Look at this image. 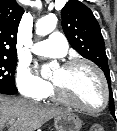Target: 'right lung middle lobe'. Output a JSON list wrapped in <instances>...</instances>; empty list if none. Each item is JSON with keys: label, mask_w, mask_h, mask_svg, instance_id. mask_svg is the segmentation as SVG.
I'll use <instances>...</instances> for the list:
<instances>
[{"label": "right lung middle lobe", "mask_w": 117, "mask_h": 131, "mask_svg": "<svg viewBox=\"0 0 117 131\" xmlns=\"http://www.w3.org/2000/svg\"><path fill=\"white\" fill-rule=\"evenodd\" d=\"M16 58L15 54L0 53V91L5 94L18 92L14 81Z\"/></svg>", "instance_id": "1"}]
</instances>
